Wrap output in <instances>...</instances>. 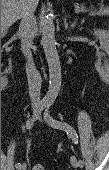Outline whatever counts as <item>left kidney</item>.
<instances>
[{
    "mask_svg": "<svg viewBox=\"0 0 109 170\" xmlns=\"http://www.w3.org/2000/svg\"><path fill=\"white\" fill-rule=\"evenodd\" d=\"M94 35L99 39L101 48L104 50V52L98 54V60L95 63V68L97 72L102 76H108L109 73V62L106 58L108 52H109V36L107 31L105 30H94ZM104 59V62L102 63L101 60Z\"/></svg>",
    "mask_w": 109,
    "mask_h": 170,
    "instance_id": "5707ae66",
    "label": "left kidney"
}]
</instances>
